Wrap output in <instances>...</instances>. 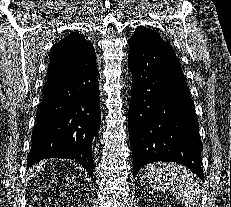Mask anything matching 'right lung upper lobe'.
<instances>
[{
  "mask_svg": "<svg viewBox=\"0 0 231 207\" xmlns=\"http://www.w3.org/2000/svg\"><path fill=\"white\" fill-rule=\"evenodd\" d=\"M94 55L96 54L91 42L78 32H73L51 48L50 67L72 70L86 64Z\"/></svg>",
  "mask_w": 231,
  "mask_h": 207,
  "instance_id": "cb5924a9",
  "label": "right lung upper lobe"
}]
</instances>
